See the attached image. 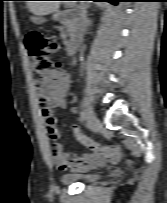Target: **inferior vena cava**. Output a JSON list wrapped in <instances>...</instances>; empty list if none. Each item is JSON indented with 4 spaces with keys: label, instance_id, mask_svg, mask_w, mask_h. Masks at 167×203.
I'll return each mask as SVG.
<instances>
[{
    "label": "inferior vena cava",
    "instance_id": "602c4592",
    "mask_svg": "<svg viewBox=\"0 0 167 203\" xmlns=\"http://www.w3.org/2000/svg\"><path fill=\"white\" fill-rule=\"evenodd\" d=\"M88 20L86 16V11L82 10L81 12V25H82V32L86 31V26H87Z\"/></svg>",
    "mask_w": 167,
    "mask_h": 203
}]
</instances>
